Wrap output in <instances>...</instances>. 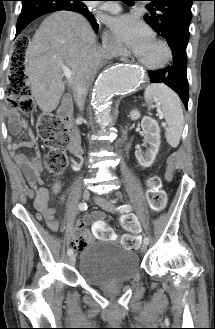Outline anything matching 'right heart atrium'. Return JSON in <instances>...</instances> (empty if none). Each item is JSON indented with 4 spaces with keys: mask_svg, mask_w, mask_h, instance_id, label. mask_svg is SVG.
Wrapping results in <instances>:
<instances>
[{
    "mask_svg": "<svg viewBox=\"0 0 215 329\" xmlns=\"http://www.w3.org/2000/svg\"><path fill=\"white\" fill-rule=\"evenodd\" d=\"M104 39L111 48H118L117 42L110 32H105Z\"/></svg>",
    "mask_w": 215,
    "mask_h": 329,
    "instance_id": "d8ad5b80",
    "label": "right heart atrium"
}]
</instances>
